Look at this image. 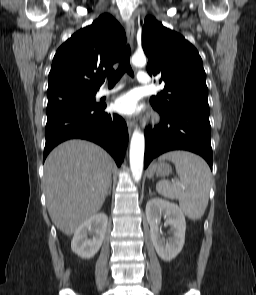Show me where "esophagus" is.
I'll return each instance as SVG.
<instances>
[{
    "label": "esophagus",
    "instance_id": "esophagus-1",
    "mask_svg": "<svg viewBox=\"0 0 256 295\" xmlns=\"http://www.w3.org/2000/svg\"><path fill=\"white\" fill-rule=\"evenodd\" d=\"M126 34H127V39H128L129 44L131 46H133V40H134V20H133V18H130L127 21ZM134 126H135V123L133 121H127V128H128L129 134L132 133Z\"/></svg>",
    "mask_w": 256,
    "mask_h": 295
}]
</instances>
